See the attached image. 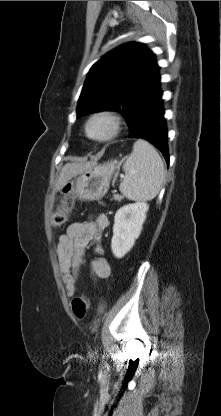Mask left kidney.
<instances>
[{"instance_id":"5707ae66","label":"left kidney","mask_w":221,"mask_h":416,"mask_svg":"<svg viewBox=\"0 0 221 416\" xmlns=\"http://www.w3.org/2000/svg\"><path fill=\"white\" fill-rule=\"evenodd\" d=\"M147 203L138 202L121 207L115 214L111 249L116 258L124 257L140 236L146 220Z\"/></svg>"}]
</instances>
